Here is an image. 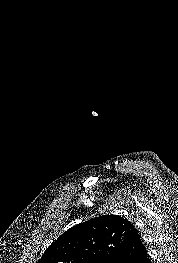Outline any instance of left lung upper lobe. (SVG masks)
<instances>
[{
    "mask_svg": "<svg viewBox=\"0 0 178 263\" xmlns=\"http://www.w3.org/2000/svg\"><path fill=\"white\" fill-rule=\"evenodd\" d=\"M133 224L117 215H102L62 234L37 263H109Z\"/></svg>",
    "mask_w": 178,
    "mask_h": 263,
    "instance_id": "5c2ea615",
    "label": "left lung upper lobe"
}]
</instances>
